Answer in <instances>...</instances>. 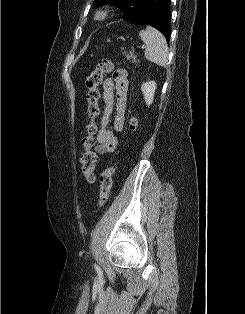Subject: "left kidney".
<instances>
[{
    "label": "left kidney",
    "instance_id": "1",
    "mask_svg": "<svg viewBox=\"0 0 245 314\" xmlns=\"http://www.w3.org/2000/svg\"><path fill=\"white\" fill-rule=\"evenodd\" d=\"M155 90H156L155 81H148L146 83H143L141 86V91L144 95L145 102L148 106L153 103Z\"/></svg>",
    "mask_w": 245,
    "mask_h": 314
}]
</instances>
